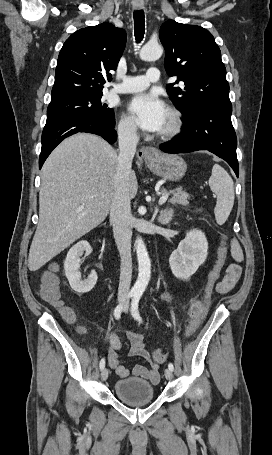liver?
<instances>
[{
  "instance_id": "1",
  "label": "liver",
  "mask_w": 272,
  "mask_h": 455,
  "mask_svg": "<svg viewBox=\"0 0 272 455\" xmlns=\"http://www.w3.org/2000/svg\"><path fill=\"white\" fill-rule=\"evenodd\" d=\"M118 154L104 139L78 133L60 143L42 167L39 223L28 267L37 271L107 217L114 195ZM138 190L135 172L128 193Z\"/></svg>"
}]
</instances>
